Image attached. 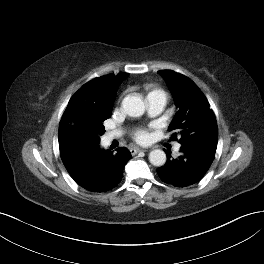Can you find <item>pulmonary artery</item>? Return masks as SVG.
Returning <instances> with one entry per match:
<instances>
[{"label": "pulmonary artery", "mask_w": 264, "mask_h": 264, "mask_svg": "<svg viewBox=\"0 0 264 264\" xmlns=\"http://www.w3.org/2000/svg\"><path fill=\"white\" fill-rule=\"evenodd\" d=\"M147 107H148V113L151 117L159 115L165 108L167 103V98L164 93L162 92H153L149 94L146 98ZM118 135V133H109L106 136V140L110 141L113 138H115ZM180 148V145L177 144L175 146V150H178Z\"/></svg>", "instance_id": "pulmonary-artery-1"}]
</instances>
